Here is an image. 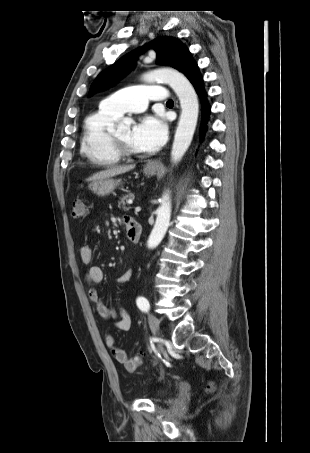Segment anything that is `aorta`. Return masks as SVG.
I'll return each instance as SVG.
<instances>
[{
	"label": "aorta",
	"instance_id": "1",
	"mask_svg": "<svg viewBox=\"0 0 310 453\" xmlns=\"http://www.w3.org/2000/svg\"><path fill=\"white\" fill-rule=\"evenodd\" d=\"M146 82L162 81L170 85L180 101L181 115L174 136L171 150L173 163L179 162L189 148L198 120L199 103L195 89L189 80L180 72L172 68H159L143 76ZM132 119L124 118L118 125L119 129L130 125ZM157 218L149 236L148 248H155L162 241L170 222L171 201L169 194H164L161 205L157 209Z\"/></svg>",
	"mask_w": 310,
	"mask_h": 453
}]
</instances>
